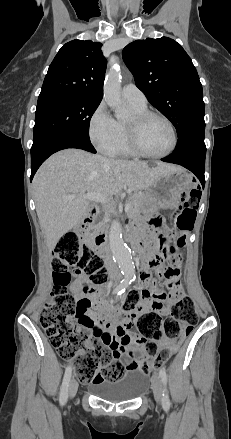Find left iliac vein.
Instances as JSON below:
<instances>
[{
    "label": "left iliac vein",
    "mask_w": 231,
    "mask_h": 439,
    "mask_svg": "<svg viewBox=\"0 0 231 439\" xmlns=\"http://www.w3.org/2000/svg\"><path fill=\"white\" fill-rule=\"evenodd\" d=\"M152 391L155 401L158 404H161L163 399V389L160 377L157 374L153 375L152 377Z\"/></svg>",
    "instance_id": "obj_1"
}]
</instances>
